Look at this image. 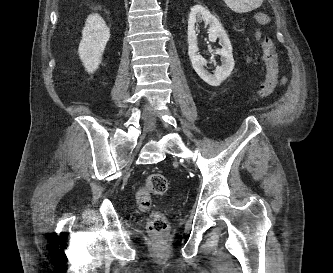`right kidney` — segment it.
<instances>
[{
	"label": "right kidney",
	"mask_w": 333,
	"mask_h": 273,
	"mask_svg": "<svg viewBox=\"0 0 333 273\" xmlns=\"http://www.w3.org/2000/svg\"><path fill=\"white\" fill-rule=\"evenodd\" d=\"M110 38V30L98 14L90 15L82 31L78 53L88 73H93L101 63L102 54Z\"/></svg>",
	"instance_id": "obj_1"
}]
</instances>
